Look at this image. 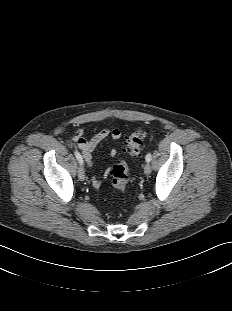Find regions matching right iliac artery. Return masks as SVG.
Returning a JSON list of instances; mask_svg holds the SVG:
<instances>
[{
	"instance_id": "right-iliac-artery-1",
	"label": "right iliac artery",
	"mask_w": 232,
	"mask_h": 311,
	"mask_svg": "<svg viewBox=\"0 0 232 311\" xmlns=\"http://www.w3.org/2000/svg\"><path fill=\"white\" fill-rule=\"evenodd\" d=\"M74 154H75L78 162L80 163V165H83V158H82L81 154L76 150H75Z\"/></svg>"
}]
</instances>
